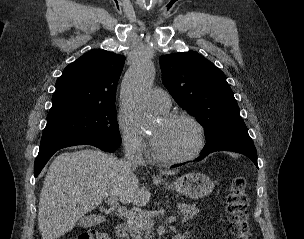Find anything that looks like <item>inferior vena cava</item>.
Segmentation results:
<instances>
[{"instance_id":"inferior-vena-cava-1","label":"inferior vena cava","mask_w":304,"mask_h":239,"mask_svg":"<svg viewBox=\"0 0 304 239\" xmlns=\"http://www.w3.org/2000/svg\"><path fill=\"white\" fill-rule=\"evenodd\" d=\"M125 157L127 166L132 170L137 166L145 165L141 150L136 145L125 144Z\"/></svg>"}]
</instances>
